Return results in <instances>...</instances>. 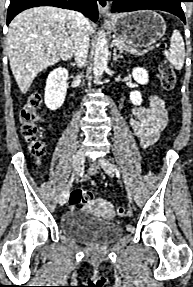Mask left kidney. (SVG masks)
<instances>
[{
    "instance_id": "left-kidney-1",
    "label": "left kidney",
    "mask_w": 193,
    "mask_h": 287,
    "mask_svg": "<svg viewBox=\"0 0 193 287\" xmlns=\"http://www.w3.org/2000/svg\"><path fill=\"white\" fill-rule=\"evenodd\" d=\"M132 76L133 79L141 85H146L149 82L148 72L142 67L133 68ZM130 101L134 105H141L143 101L141 93L139 91H132L130 93Z\"/></svg>"
}]
</instances>
